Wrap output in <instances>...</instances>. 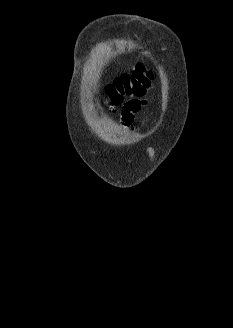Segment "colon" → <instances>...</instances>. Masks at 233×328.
Masks as SVG:
<instances>
[{
  "label": "colon",
  "mask_w": 233,
  "mask_h": 328,
  "mask_svg": "<svg viewBox=\"0 0 233 328\" xmlns=\"http://www.w3.org/2000/svg\"><path fill=\"white\" fill-rule=\"evenodd\" d=\"M152 80V74L139 63L131 73H125L115 78L106 87V95L113 106L121 104L125 96H141L145 93Z\"/></svg>",
  "instance_id": "1"
}]
</instances>
